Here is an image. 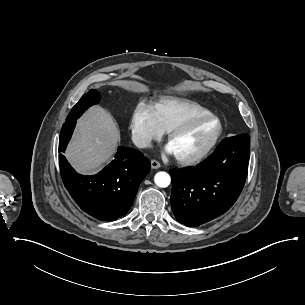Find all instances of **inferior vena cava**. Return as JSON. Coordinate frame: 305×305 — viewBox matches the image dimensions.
Listing matches in <instances>:
<instances>
[{
  "label": "inferior vena cava",
  "instance_id": "1",
  "mask_svg": "<svg viewBox=\"0 0 305 305\" xmlns=\"http://www.w3.org/2000/svg\"><path fill=\"white\" fill-rule=\"evenodd\" d=\"M132 141L139 148H146L151 143V139L149 137L137 133L133 134Z\"/></svg>",
  "mask_w": 305,
  "mask_h": 305
}]
</instances>
